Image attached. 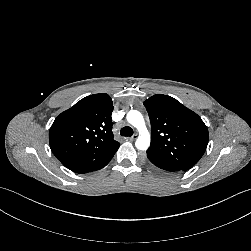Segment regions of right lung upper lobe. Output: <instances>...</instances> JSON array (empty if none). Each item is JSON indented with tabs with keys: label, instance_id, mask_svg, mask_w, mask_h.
<instances>
[{
	"label": "right lung upper lobe",
	"instance_id": "cb5924a9",
	"mask_svg": "<svg viewBox=\"0 0 251 251\" xmlns=\"http://www.w3.org/2000/svg\"><path fill=\"white\" fill-rule=\"evenodd\" d=\"M112 99L94 94L62 112L49 131L53 154L68 169L89 173L106 166L120 144L112 133Z\"/></svg>",
	"mask_w": 251,
	"mask_h": 251
}]
</instances>
